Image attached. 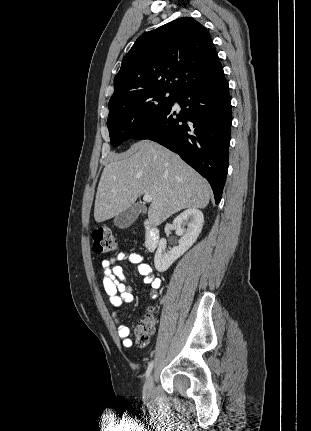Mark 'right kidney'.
I'll return each mask as SVG.
<instances>
[{"label":"right kidney","instance_id":"ca27d5eb","mask_svg":"<svg viewBox=\"0 0 311 431\" xmlns=\"http://www.w3.org/2000/svg\"><path fill=\"white\" fill-rule=\"evenodd\" d=\"M186 223L187 229L181 227L182 223ZM204 223V216L197 208H189L182 212L180 216L175 217L173 225L176 229L177 235H182L179 239V245L172 247L170 251H166V239L161 237L157 251L154 257V265L157 271H166L172 265L175 259L183 255L193 243H195Z\"/></svg>","mask_w":311,"mask_h":431}]
</instances>
